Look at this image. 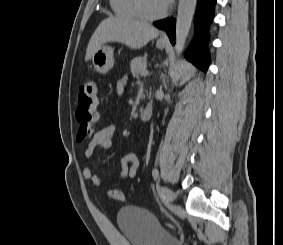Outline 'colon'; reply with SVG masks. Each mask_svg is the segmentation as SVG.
Segmentation results:
<instances>
[{
	"instance_id": "1",
	"label": "colon",
	"mask_w": 283,
	"mask_h": 245,
	"mask_svg": "<svg viewBox=\"0 0 283 245\" xmlns=\"http://www.w3.org/2000/svg\"><path fill=\"white\" fill-rule=\"evenodd\" d=\"M96 88L97 84L93 78L83 82L79 88L78 106L76 110V119L79 122L76 136L78 141L88 139L93 132V125L95 122ZM108 195L115 201L127 202L126 196L118 189H110Z\"/></svg>"
}]
</instances>
